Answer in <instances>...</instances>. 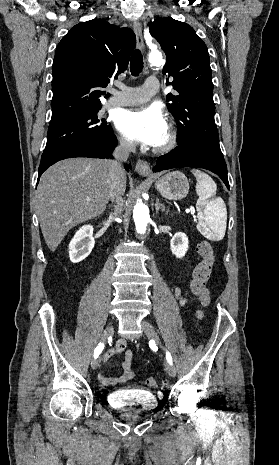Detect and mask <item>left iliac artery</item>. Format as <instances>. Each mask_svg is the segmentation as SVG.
I'll return each mask as SVG.
<instances>
[{
    "label": "left iliac artery",
    "mask_w": 279,
    "mask_h": 465,
    "mask_svg": "<svg viewBox=\"0 0 279 465\" xmlns=\"http://www.w3.org/2000/svg\"><path fill=\"white\" fill-rule=\"evenodd\" d=\"M166 358H167L168 362L172 363V357H171L169 352L166 353Z\"/></svg>",
    "instance_id": "44dca946"
}]
</instances>
